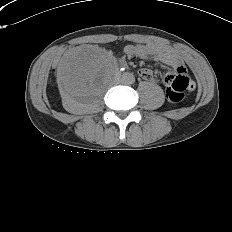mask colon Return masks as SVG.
<instances>
[{"label": "colon", "mask_w": 232, "mask_h": 232, "mask_svg": "<svg viewBox=\"0 0 232 232\" xmlns=\"http://www.w3.org/2000/svg\"><path fill=\"white\" fill-rule=\"evenodd\" d=\"M164 83L167 87V97L171 102H180L184 97V92L189 89V78L181 74L166 75Z\"/></svg>", "instance_id": "1"}]
</instances>
